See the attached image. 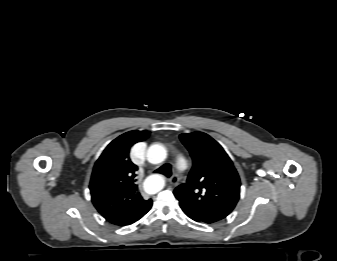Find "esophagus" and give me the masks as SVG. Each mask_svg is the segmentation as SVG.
<instances>
[{"label": "esophagus", "mask_w": 337, "mask_h": 261, "mask_svg": "<svg viewBox=\"0 0 337 261\" xmlns=\"http://www.w3.org/2000/svg\"><path fill=\"white\" fill-rule=\"evenodd\" d=\"M169 181L171 185L176 186L178 184L179 177L174 174Z\"/></svg>", "instance_id": "1"}]
</instances>
